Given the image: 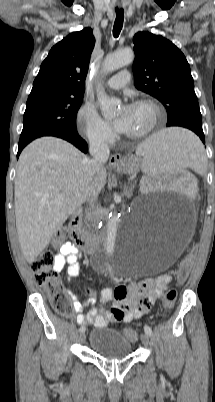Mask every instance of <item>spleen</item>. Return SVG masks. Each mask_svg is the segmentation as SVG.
<instances>
[{
	"instance_id": "obj_1",
	"label": "spleen",
	"mask_w": 215,
	"mask_h": 402,
	"mask_svg": "<svg viewBox=\"0 0 215 402\" xmlns=\"http://www.w3.org/2000/svg\"><path fill=\"white\" fill-rule=\"evenodd\" d=\"M137 153L143 155L144 174L148 169L169 172L171 169L183 171L187 167L190 173L200 172L205 162L201 140L192 128H167L155 133L137 148Z\"/></svg>"
}]
</instances>
